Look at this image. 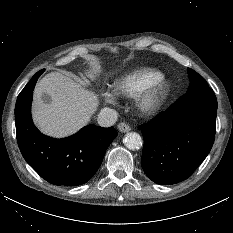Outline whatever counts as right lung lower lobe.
Here are the masks:
<instances>
[{"mask_svg": "<svg viewBox=\"0 0 233 233\" xmlns=\"http://www.w3.org/2000/svg\"><path fill=\"white\" fill-rule=\"evenodd\" d=\"M37 72L19 94L15 105L17 141L26 162L54 185L77 186L90 180L100 167L110 143L117 136L113 128L88 125L64 139L39 132L31 118L33 89Z\"/></svg>", "mask_w": 233, "mask_h": 233, "instance_id": "1", "label": "right lung lower lobe"}]
</instances>
